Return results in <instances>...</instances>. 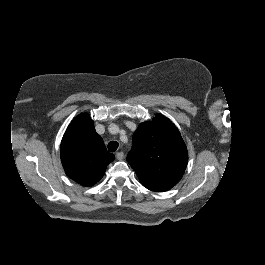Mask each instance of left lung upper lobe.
Masks as SVG:
<instances>
[{
	"instance_id": "5c2ea615",
	"label": "left lung upper lobe",
	"mask_w": 265,
	"mask_h": 265,
	"mask_svg": "<svg viewBox=\"0 0 265 265\" xmlns=\"http://www.w3.org/2000/svg\"><path fill=\"white\" fill-rule=\"evenodd\" d=\"M127 161L143 186L152 191H167L182 178L188 153L176 126L157 114L152 122L138 126Z\"/></svg>"
}]
</instances>
